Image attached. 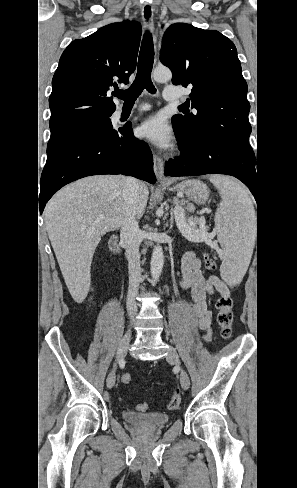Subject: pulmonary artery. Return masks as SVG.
<instances>
[{"label":"pulmonary artery","mask_w":297,"mask_h":488,"mask_svg":"<svg viewBox=\"0 0 297 488\" xmlns=\"http://www.w3.org/2000/svg\"><path fill=\"white\" fill-rule=\"evenodd\" d=\"M180 97L179 92L173 87H166L164 89V98L167 101H177ZM139 111H147L149 110L148 105H144L138 109Z\"/></svg>","instance_id":"e3ab8cb5"}]
</instances>
